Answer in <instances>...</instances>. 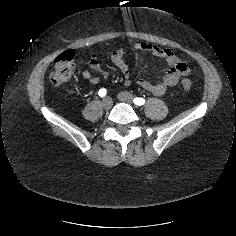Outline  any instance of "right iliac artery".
I'll return each instance as SVG.
<instances>
[{
  "label": "right iliac artery",
  "mask_w": 236,
  "mask_h": 236,
  "mask_svg": "<svg viewBox=\"0 0 236 236\" xmlns=\"http://www.w3.org/2000/svg\"><path fill=\"white\" fill-rule=\"evenodd\" d=\"M107 91L105 88H101L99 91H98V95L100 97H104L106 95Z\"/></svg>",
  "instance_id": "1"
}]
</instances>
